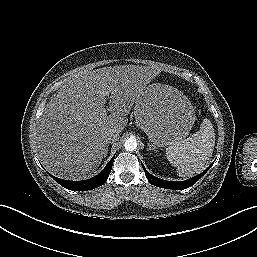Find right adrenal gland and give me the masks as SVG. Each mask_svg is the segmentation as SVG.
Returning <instances> with one entry per match:
<instances>
[{"label": "right adrenal gland", "mask_w": 257, "mask_h": 257, "mask_svg": "<svg viewBox=\"0 0 257 257\" xmlns=\"http://www.w3.org/2000/svg\"><path fill=\"white\" fill-rule=\"evenodd\" d=\"M108 146H109V145H107V152H106V154H105V156H104V157H106V156H107V153H108Z\"/></svg>", "instance_id": "right-adrenal-gland-1"}]
</instances>
